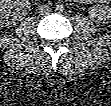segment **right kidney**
<instances>
[{
    "mask_svg": "<svg viewBox=\"0 0 111 106\" xmlns=\"http://www.w3.org/2000/svg\"><path fill=\"white\" fill-rule=\"evenodd\" d=\"M23 2H17L13 0H3L1 1V23L5 26L16 25L21 19V10L24 6L29 3L22 4ZM28 7V6H27ZM23 11H25L23 9Z\"/></svg>",
    "mask_w": 111,
    "mask_h": 106,
    "instance_id": "ca27d5eb",
    "label": "right kidney"
}]
</instances>
